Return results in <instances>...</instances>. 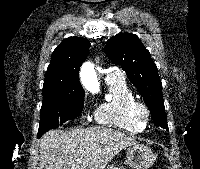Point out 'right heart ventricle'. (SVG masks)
Returning a JSON list of instances; mask_svg holds the SVG:
<instances>
[{
    "label": "right heart ventricle",
    "instance_id": "e07e8e85",
    "mask_svg": "<svg viewBox=\"0 0 200 169\" xmlns=\"http://www.w3.org/2000/svg\"><path fill=\"white\" fill-rule=\"evenodd\" d=\"M109 99L95 110L94 118L98 124L131 133H140L144 126L133 116V106L138 102L125 79L119 75L105 79Z\"/></svg>",
    "mask_w": 200,
    "mask_h": 169
}]
</instances>
